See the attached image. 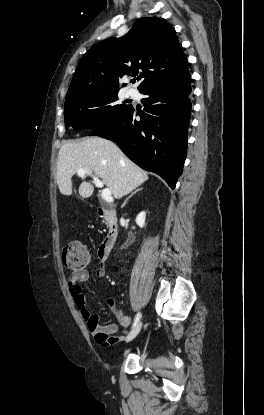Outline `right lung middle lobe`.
Returning a JSON list of instances; mask_svg holds the SVG:
<instances>
[{
  "instance_id": "right-lung-middle-lobe-1",
  "label": "right lung middle lobe",
  "mask_w": 264,
  "mask_h": 415,
  "mask_svg": "<svg viewBox=\"0 0 264 415\" xmlns=\"http://www.w3.org/2000/svg\"><path fill=\"white\" fill-rule=\"evenodd\" d=\"M118 92L78 95L65 100V127L95 129L114 120L131 107L116 104Z\"/></svg>"
}]
</instances>
